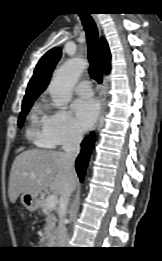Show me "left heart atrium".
Instances as JSON below:
<instances>
[{"instance_id": "1", "label": "left heart atrium", "mask_w": 162, "mask_h": 261, "mask_svg": "<svg viewBox=\"0 0 162 261\" xmlns=\"http://www.w3.org/2000/svg\"><path fill=\"white\" fill-rule=\"evenodd\" d=\"M75 123L79 130L86 131L94 124L97 114L98 105L94 99H77L72 104Z\"/></svg>"}]
</instances>
